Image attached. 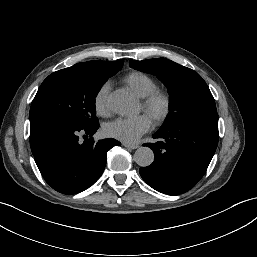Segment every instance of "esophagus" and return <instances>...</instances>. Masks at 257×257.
<instances>
[{
	"mask_svg": "<svg viewBox=\"0 0 257 257\" xmlns=\"http://www.w3.org/2000/svg\"><path fill=\"white\" fill-rule=\"evenodd\" d=\"M123 146L128 149H137L139 147L138 144H129V143H123Z\"/></svg>",
	"mask_w": 257,
	"mask_h": 257,
	"instance_id": "esophagus-1",
	"label": "esophagus"
}]
</instances>
